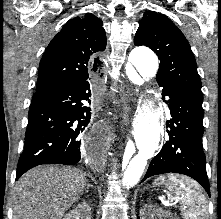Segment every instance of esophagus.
<instances>
[{"mask_svg": "<svg viewBox=\"0 0 221 219\" xmlns=\"http://www.w3.org/2000/svg\"><path fill=\"white\" fill-rule=\"evenodd\" d=\"M126 95H127V101H128V100H131V98H132V96H133V92L130 91V90H128ZM124 103H127V102H124ZM124 108H125V110H126L127 107H124Z\"/></svg>", "mask_w": 221, "mask_h": 219, "instance_id": "esophagus-1", "label": "esophagus"}]
</instances>
